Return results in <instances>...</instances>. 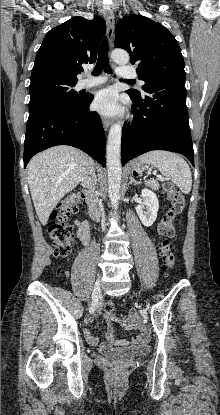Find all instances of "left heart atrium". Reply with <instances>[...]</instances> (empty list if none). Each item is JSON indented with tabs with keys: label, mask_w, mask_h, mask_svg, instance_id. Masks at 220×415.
Masks as SVG:
<instances>
[{
	"label": "left heart atrium",
	"mask_w": 220,
	"mask_h": 415,
	"mask_svg": "<svg viewBox=\"0 0 220 415\" xmlns=\"http://www.w3.org/2000/svg\"><path fill=\"white\" fill-rule=\"evenodd\" d=\"M96 111L103 115H113L118 112V97L113 88H107L99 91L93 102Z\"/></svg>",
	"instance_id": "left-heart-atrium-1"
}]
</instances>
